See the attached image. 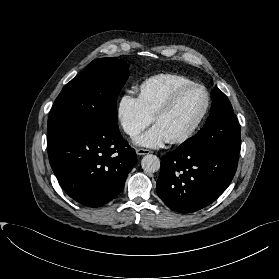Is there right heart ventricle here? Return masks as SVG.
Returning a JSON list of instances; mask_svg holds the SVG:
<instances>
[{
	"mask_svg": "<svg viewBox=\"0 0 279 279\" xmlns=\"http://www.w3.org/2000/svg\"><path fill=\"white\" fill-rule=\"evenodd\" d=\"M194 83L177 73H160L145 79L138 87V97L145 111L153 117L175 90Z\"/></svg>",
	"mask_w": 279,
	"mask_h": 279,
	"instance_id": "obj_1",
	"label": "right heart ventricle"
}]
</instances>
